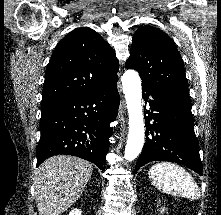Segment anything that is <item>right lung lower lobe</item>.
<instances>
[{
  "label": "right lung lower lobe",
  "instance_id": "1",
  "mask_svg": "<svg viewBox=\"0 0 221 215\" xmlns=\"http://www.w3.org/2000/svg\"><path fill=\"white\" fill-rule=\"evenodd\" d=\"M117 79L84 93L62 105L41 110V138L37 146V166L53 155H73L106 165L109 124L119 108Z\"/></svg>",
  "mask_w": 221,
  "mask_h": 215
}]
</instances>
